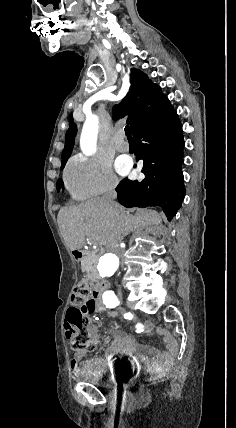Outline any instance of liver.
Instances as JSON below:
<instances>
[{"label":"liver","instance_id":"liver-1","mask_svg":"<svg viewBox=\"0 0 236 428\" xmlns=\"http://www.w3.org/2000/svg\"><path fill=\"white\" fill-rule=\"evenodd\" d=\"M61 234L71 252L81 250L86 240L107 250L121 244L130 232L148 226L150 234L160 232L162 218L155 210H138L130 214L122 206L108 208L105 198H92L79 206L63 208L57 216Z\"/></svg>","mask_w":236,"mask_h":428}]
</instances>
